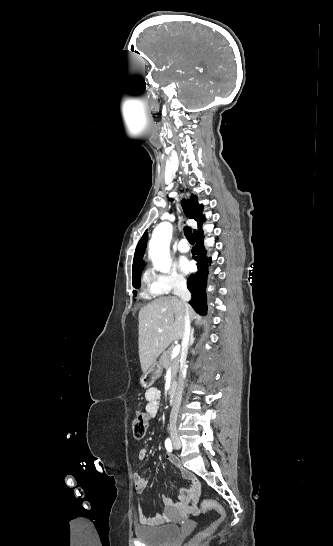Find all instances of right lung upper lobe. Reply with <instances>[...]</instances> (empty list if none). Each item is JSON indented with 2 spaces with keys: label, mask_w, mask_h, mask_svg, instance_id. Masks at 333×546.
<instances>
[{
  "label": "right lung upper lobe",
  "mask_w": 333,
  "mask_h": 546,
  "mask_svg": "<svg viewBox=\"0 0 333 546\" xmlns=\"http://www.w3.org/2000/svg\"><path fill=\"white\" fill-rule=\"evenodd\" d=\"M197 200H198V198L192 194L190 199H188V200L184 199L181 202L182 208H183V211H184L185 215L190 219L196 220V222H197L198 228L194 232V236L197 233L202 231V224L205 221V217L202 215L203 205H199ZM147 239H148V233H147V231H145L142 238L138 242V245L136 247V251H135V254H134V259H133V282L135 281L136 275H138L141 272V270L143 269V267H144V263H143L142 259H143V255H144V252H145V249H146Z\"/></svg>",
  "instance_id": "obj_1"
}]
</instances>
